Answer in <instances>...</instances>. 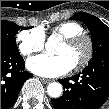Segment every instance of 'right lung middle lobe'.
Listing matches in <instances>:
<instances>
[{"mask_svg":"<svg viewBox=\"0 0 109 109\" xmlns=\"http://www.w3.org/2000/svg\"><path fill=\"white\" fill-rule=\"evenodd\" d=\"M20 29L26 27H20L10 21H1V52L19 54L15 35Z\"/></svg>","mask_w":109,"mask_h":109,"instance_id":"1","label":"right lung middle lobe"}]
</instances>
